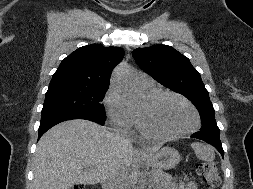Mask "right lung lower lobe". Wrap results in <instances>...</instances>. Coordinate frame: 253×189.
Here are the masks:
<instances>
[{
    "label": "right lung lower lobe",
    "mask_w": 253,
    "mask_h": 189,
    "mask_svg": "<svg viewBox=\"0 0 253 189\" xmlns=\"http://www.w3.org/2000/svg\"><path fill=\"white\" fill-rule=\"evenodd\" d=\"M71 119H86V120H92L95 122L100 123L101 125H104L105 120L93 117V116H87V115H79L74 113H49V114H43L40 122V127L38 131V139L51 127L54 125Z\"/></svg>",
    "instance_id": "98d812e1"
}]
</instances>
